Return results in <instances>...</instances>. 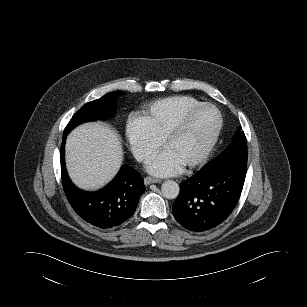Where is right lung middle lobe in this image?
<instances>
[{"label":"right lung middle lobe","mask_w":307,"mask_h":307,"mask_svg":"<svg viewBox=\"0 0 307 307\" xmlns=\"http://www.w3.org/2000/svg\"><path fill=\"white\" fill-rule=\"evenodd\" d=\"M123 94L122 91L108 93L98 100L85 104L71 118L63 135H67L75 126L111 116L114 113V101Z\"/></svg>","instance_id":"dd1d6c3e"}]
</instances>
